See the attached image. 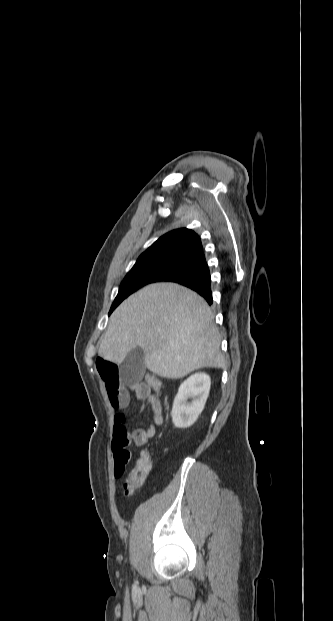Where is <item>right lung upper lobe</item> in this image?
<instances>
[{"label":"right lung upper lobe","mask_w":333,"mask_h":621,"mask_svg":"<svg viewBox=\"0 0 333 621\" xmlns=\"http://www.w3.org/2000/svg\"><path fill=\"white\" fill-rule=\"evenodd\" d=\"M202 249L203 246L198 234L190 229L181 228L161 236L139 256L137 262L163 258H180L186 260Z\"/></svg>","instance_id":"1"}]
</instances>
